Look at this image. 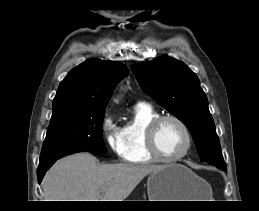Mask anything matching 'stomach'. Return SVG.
I'll return each mask as SVG.
<instances>
[{
    "mask_svg": "<svg viewBox=\"0 0 259 211\" xmlns=\"http://www.w3.org/2000/svg\"><path fill=\"white\" fill-rule=\"evenodd\" d=\"M149 201H205L209 184L186 166L168 164L148 177Z\"/></svg>",
    "mask_w": 259,
    "mask_h": 211,
    "instance_id": "1",
    "label": "stomach"
}]
</instances>
